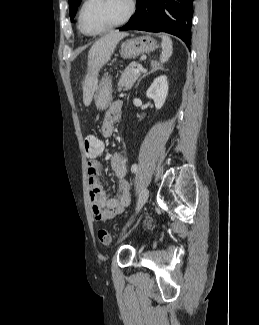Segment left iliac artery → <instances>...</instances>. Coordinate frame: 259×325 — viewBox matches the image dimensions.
Instances as JSON below:
<instances>
[{"instance_id": "1", "label": "left iliac artery", "mask_w": 259, "mask_h": 325, "mask_svg": "<svg viewBox=\"0 0 259 325\" xmlns=\"http://www.w3.org/2000/svg\"><path fill=\"white\" fill-rule=\"evenodd\" d=\"M137 170H138V166H137V164H133L132 167H131V172H132V173H136Z\"/></svg>"}]
</instances>
